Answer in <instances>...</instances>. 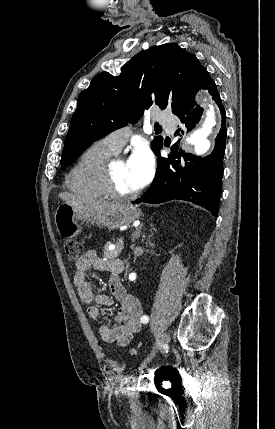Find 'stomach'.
<instances>
[{
    "label": "stomach",
    "mask_w": 275,
    "mask_h": 429,
    "mask_svg": "<svg viewBox=\"0 0 275 429\" xmlns=\"http://www.w3.org/2000/svg\"><path fill=\"white\" fill-rule=\"evenodd\" d=\"M140 210L131 204H119L102 212L78 211L67 203L58 206L54 221L60 235L71 238L82 232V223L97 224L109 229L128 225L138 219ZM81 222V223H79Z\"/></svg>",
    "instance_id": "obj_1"
}]
</instances>
